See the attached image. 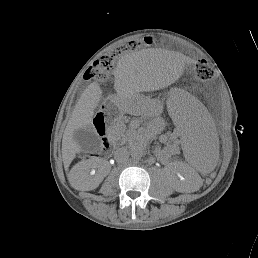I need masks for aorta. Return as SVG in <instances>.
Instances as JSON below:
<instances>
[{"instance_id": "obj_1", "label": "aorta", "mask_w": 258, "mask_h": 258, "mask_svg": "<svg viewBox=\"0 0 258 258\" xmlns=\"http://www.w3.org/2000/svg\"><path fill=\"white\" fill-rule=\"evenodd\" d=\"M131 156L135 161H139L142 157V151L138 149H132Z\"/></svg>"}]
</instances>
